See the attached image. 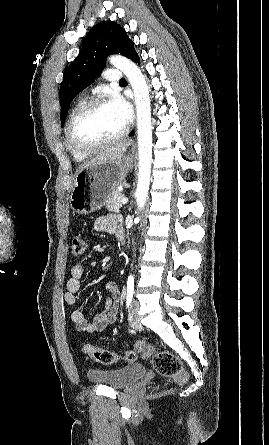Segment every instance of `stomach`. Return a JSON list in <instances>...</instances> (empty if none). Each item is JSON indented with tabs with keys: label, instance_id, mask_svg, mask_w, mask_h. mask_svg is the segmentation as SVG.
<instances>
[{
	"label": "stomach",
	"instance_id": "obj_1",
	"mask_svg": "<svg viewBox=\"0 0 269 445\" xmlns=\"http://www.w3.org/2000/svg\"><path fill=\"white\" fill-rule=\"evenodd\" d=\"M134 159L123 156L114 162H102L77 172L70 196V206L79 215L101 209L111 192L132 169Z\"/></svg>",
	"mask_w": 269,
	"mask_h": 445
}]
</instances>
